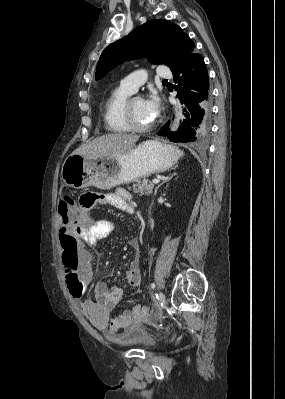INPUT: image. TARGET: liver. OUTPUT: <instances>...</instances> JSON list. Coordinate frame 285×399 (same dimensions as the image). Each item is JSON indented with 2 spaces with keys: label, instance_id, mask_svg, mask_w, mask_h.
<instances>
[{
  "label": "liver",
  "instance_id": "6515ba94",
  "mask_svg": "<svg viewBox=\"0 0 285 399\" xmlns=\"http://www.w3.org/2000/svg\"><path fill=\"white\" fill-rule=\"evenodd\" d=\"M139 139L137 135L112 133L102 135L81 145L73 154L90 158L98 156H117L128 151Z\"/></svg>",
  "mask_w": 285,
  "mask_h": 399
}]
</instances>
